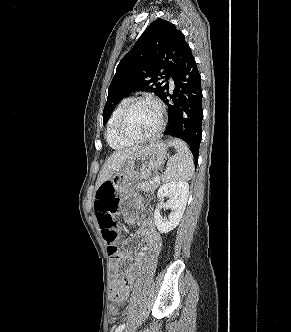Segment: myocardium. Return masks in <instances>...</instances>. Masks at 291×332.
I'll return each instance as SVG.
<instances>
[{
  "instance_id": "f54148a6",
  "label": "myocardium",
  "mask_w": 291,
  "mask_h": 332,
  "mask_svg": "<svg viewBox=\"0 0 291 332\" xmlns=\"http://www.w3.org/2000/svg\"><path fill=\"white\" fill-rule=\"evenodd\" d=\"M140 102L152 103L157 108L158 115H159V124H158L157 129L150 135H147L144 137H132L125 132V121H126V117H127L128 113L132 109V107ZM165 124H166L165 108H164V105L162 104V102H160L158 99H156L152 96H139V97L131 99L126 104V106L123 108V110L119 116V119H118L117 131H118L119 136L123 140H125L129 143H132V144L142 143V142L153 140L156 137H158L161 134V132L164 130Z\"/></svg>"
}]
</instances>
